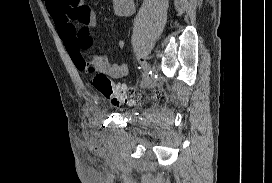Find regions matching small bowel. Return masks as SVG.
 I'll list each match as a JSON object with an SVG mask.
<instances>
[{"instance_id": "obj_1", "label": "small bowel", "mask_w": 272, "mask_h": 183, "mask_svg": "<svg viewBox=\"0 0 272 183\" xmlns=\"http://www.w3.org/2000/svg\"><path fill=\"white\" fill-rule=\"evenodd\" d=\"M49 14L52 16L59 37L65 43L67 52L78 70H85L86 53L92 46L91 29L96 24L93 9L84 0H44ZM114 13L120 17H128L135 10L134 0H113ZM120 49L125 47L119 41ZM92 65L101 73L113 79L128 75L129 67L123 62H111L107 59H94Z\"/></svg>"}]
</instances>
